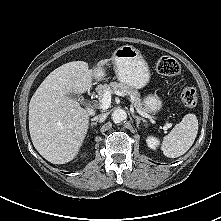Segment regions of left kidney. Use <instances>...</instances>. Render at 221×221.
Instances as JSON below:
<instances>
[{
	"label": "left kidney",
	"mask_w": 221,
	"mask_h": 221,
	"mask_svg": "<svg viewBox=\"0 0 221 221\" xmlns=\"http://www.w3.org/2000/svg\"><path fill=\"white\" fill-rule=\"evenodd\" d=\"M146 142L151 149H156V147L159 145L158 139L153 136H149L146 139Z\"/></svg>",
	"instance_id": "left-kidney-1"
}]
</instances>
